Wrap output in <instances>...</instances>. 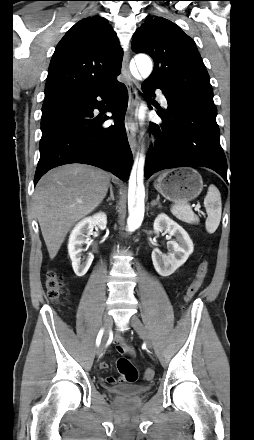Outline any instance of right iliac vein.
<instances>
[{
	"label": "right iliac vein",
	"mask_w": 254,
	"mask_h": 440,
	"mask_svg": "<svg viewBox=\"0 0 254 440\" xmlns=\"http://www.w3.org/2000/svg\"><path fill=\"white\" fill-rule=\"evenodd\" d=\"M113 322V318L110 314H105L104 315V319H103V327H104V335H103V339L102 342L99 344L97 350H96V355L97 357H101L103 354V350H104V345L105 342L107 340L108 337V331L112 325Z\"/></svg>",
	"instance_id": "1"
}]
</instances>
